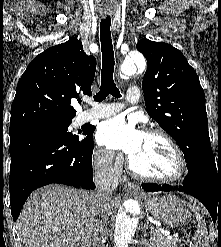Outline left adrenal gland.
I'll list each match as a JSON object with an SVG mask.
<instances>
[{
	"label": "left adrenal gland",
	"mask_w": 221,
	"mask_h": 247,
	"mask_svg": "<svg viewBox=\"0 0 221 247\" xmlns=\"http://www.w3.org/2000/svg\"><path fill=\"white\" fill-rule=\"evenodd\" d=\"M147 229H148V222H147V224H145V225L143 226V228H142V231H143L145 237H147V232H146Z\"/></svg>",
	"instance_id": "obj_1"
}]
</instances>
